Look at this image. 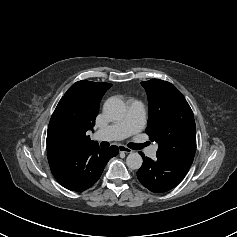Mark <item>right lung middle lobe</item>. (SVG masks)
Returning <instances> with one entry per match:
<instances>
[{
  "label": "right lung middle lobe",
  "mask_w": 237,
  "mask_h": 237,
  "mask_svg": "<svg viewBox=\"0 0 237 237\" xmlns=\"http://www.w3.org/2000/svg\"><path fill=\"white\" fill-rule=\"evenodd\" d=\"M66 131L63 126L53 123L49 124L47 132V144L65 145Z\"/></svg>",
  "instance_id": "obj_1"
}]
</instances>
